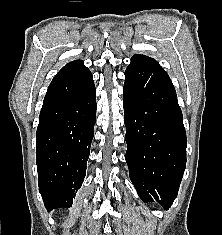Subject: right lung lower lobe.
I'll return each instance as SVG.
<instances>
[{
    "label": "right lung lower lobe",
    "instance_id": "right-lung-lower-lobe-1",
    "mask_svg": "<svg viewBox=\"0 0 222 235\" xmlns=\"http://www.w3.org/2000/svg\"><path fill=\"white\" fill-rule=\"evenodd\" d=\"M95 96L89 69L57 77L48 87L36 133L39 191L48 211L71 207L85 178Z\"/></svg>",
    "mask_w": 222,
    "mask_h": 235
}]
</instances>
